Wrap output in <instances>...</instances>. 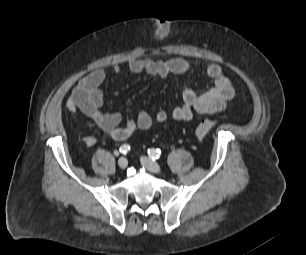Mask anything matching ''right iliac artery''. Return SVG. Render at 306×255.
Instances as JSON below:
<instances>
[{
    "label": "right iliac artery",
    "instance_id": "1",
    "mask_svg": "<svg viewBox=\"0 0 306 255\" xmlns=\"http://www.w3.org/2000/svg\"><path fill=\"white\" fill-rule=\"evenodd\" d=\"M120 152L122 153V154H126V153H128L129 151H130V145H128V144H124V145H122L121 147H120Z\"/></svg>",
    "mask_w": 306,
    "mask_h": 255
}]
</instances>
